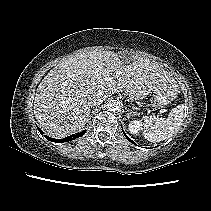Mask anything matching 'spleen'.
Wrapping results in <instances>:
<instances>
[{"mask_svg":"<svg viewBox=\"0 0 211 211\" xmlns=\"http://www.w3.org/2000/svg\"><path fill=\"white\" fill-rule=\"evenodd\" d=\"M183 117L184 106L178 105L170 112L167 119L149 121L143 132L145 139L156 143L172 137L182 124Z\"/></svg>","mask_w":211,"mask_h":211,"instance_id":"obj_1","label":"spleen"}]
</instances>
